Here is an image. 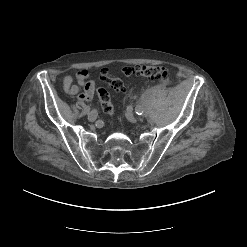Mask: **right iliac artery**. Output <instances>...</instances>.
Wrapping results in <instances>:
<instances>
[{"mask_svg":"<svg viewBox=\"0 0 247 247\" xmlns=\"http://www.w3.org/2000/svg\"><path fill=\"white\" fill-rule=\"evenodd\" d=\"M83 110H84V112H86V113H87V112H89V111H90V108H89L88 106H86V107H84V109H83Z\"/></svg>","mask_w":247,"mask_h":247,"instance_id":"82829eb1","label":"right iliac artery"}]
</instances>
